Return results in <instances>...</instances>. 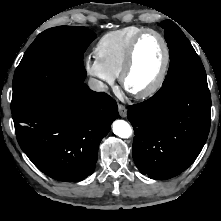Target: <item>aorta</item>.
Returning <instances> with one entry per match:
<instances>
[{
  "label": "aorta",
  "mask_w": 221,
  "mask_h": 221,
  "mask_svg": "<svg viewBox=\"0 0 221 221\" xmlns=\"http://www.w3.org/2000/svg\"><path fill=\"white\" fill-rule=\"evenodd\" d=\"M112 129L115 135L120 138H129L132 134L131 126L124 120H116L113 122Z\"/></svg>",
  "instance_id": "obj_1"
}]
</instances>
